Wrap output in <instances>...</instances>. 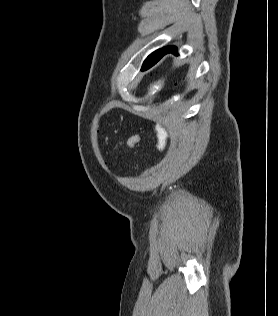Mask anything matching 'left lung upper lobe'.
<instances>
[{"label": "left lung upper lobe", "instance_id": "obj_1", "mask_svg": "<svg viewBox=\"0 0 278 316\" xmlns=\"http://www.w3.org/2000/svg\"><path fill=\"white\" fill-rule=\"evenodd\" d=\"M166 47H163L161 49L156 50L155 52H153L152 54H150L146 60L144 61V65L142 70H147L150 67H152L154 64H156L160 58H161V54L162 52L165 50Z\"/></svg>", "mask_w": 278, "mask_h": 316}]
</instances>
